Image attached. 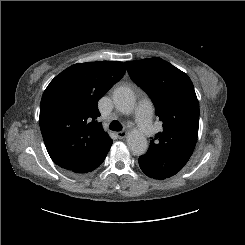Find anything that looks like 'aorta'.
Returning <instances> with one entry per match:
<instances>
[{
    "label": "aorta",
    "instance_id": "aorta-1",
    "mask_svg": "<svg viewBox=\"0 0 245 245\" xmlns=\"http://www.w3.org/2000/svg\"><path fill=\"white\" fill-rule=\"evenodd\" d=\"M135 94L128 87H118L113 94L116 108L122 113H129L135 105ZM127 145L135 155H143L148 150L146 137L138 130H131L127 135Z\"/></svg>",
    "mask_w": 245,
    "mask_h": 245
}]
</instances>
